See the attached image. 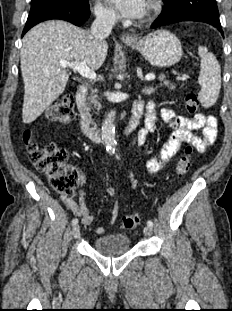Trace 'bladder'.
<instances>
[{
    "label": "bladder",
    "instance_id": "31cf9c89",
    "mask_svg": "<svg viewBox=\"0 0 232 311\" xmlns=\"http://www.w3.org/2000/svg\"><path fill=\"white\" fill-rule=\"evenodd\" d=\"M93 248L101 253L119 254L129 251L131 244L127 234L109 233L95 238Z\"/></svg>",
    "mask_w": 232,
    "mask_h": 311
}]
</instances>
